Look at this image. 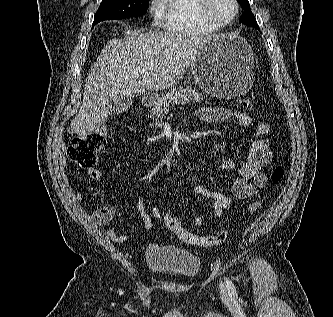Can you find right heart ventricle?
I'll list each match as a JSON object with an SVG mask.
<instances>
[{
	"label": "right heart ventricle",
	"mask_w": 333,
	"mask_h": 317,
	"mask_svg": "<svg viewBox=\"0 0 333 317\" xmlns=\"http://www.w3.org/2000/svg\"><path fill=\"white\" fill-rule=\"evenodd\" d=\"M163 29L183 37H199L218 29L204 23L197 13V0H160Z\"/></svg>",
	"instance_id": "e07e8e85"
}]
</instances>
